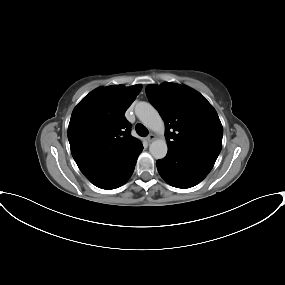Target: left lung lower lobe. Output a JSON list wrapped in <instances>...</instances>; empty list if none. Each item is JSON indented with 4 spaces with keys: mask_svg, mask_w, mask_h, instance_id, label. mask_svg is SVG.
Returning a JSON list of instances; mask_svg holds the SVG:
<instances>
[{
    "mask_svg": "<svg viewBox=\"0 0 285 285\" xmlns=\"http://www.w3.org/2000/svg\"><path fill=\"white\" fill-rule=\"evenodd\" d=\"M212 167L211 164L170 152L164 159L157 161V169L161 177L177 188H190L198 184Z\"/></svg>",
    "mask_w": 285,
    "mask_h": 285,
    "instance_id": "0a47b994",
    "label": "left lung lower lobe"
}]
</instances>
